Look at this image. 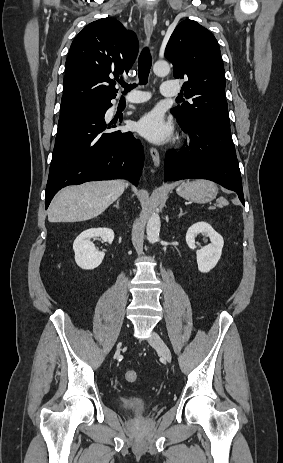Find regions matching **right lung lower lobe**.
I'll return each mask as SVG.
<instances>
[{
	"label": "right lung lower lobe",
	"instance_id": "right-lung-lower-lobe-1",
	"mask_svg": "<svg viewBox=\"0 0 283 463\" xmlns=\"http://www.w3.org/2000/svg\"><path fill=\"white\" fill-rule=\"evenodd\" d=\"M110 101H95L60 117L46 186V209L53 196L68 185L113 178L137 183L143 148L131 132L114 130L121 123L105 122Z\"/></svg>",
	"mask_w": 283,
	"mask_h": 463
}]
</instances>
